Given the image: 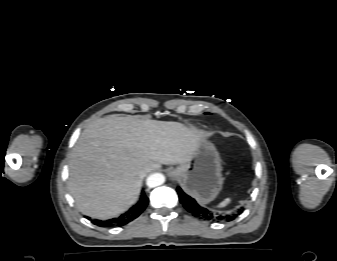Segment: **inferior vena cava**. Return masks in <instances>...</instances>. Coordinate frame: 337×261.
Wrapping results in <instances>:
<instances>
[{
    "mask_svg": "<svg viewBox=\"0 0 337 261\" xmlns=\"http://www.w3.org/2000/svg\"><path fill=\"white\" fill-rule=\"evenodd\" d=\"M147 172H149V169H146L144 172H142L141 176L144 177L147 174Z\"/></svg>",
    "mask_w": 337,
    "mask_h": 261,
    "instance_id": "602c4592",
    "label": "inferior vena cava"
}]
</instances>
